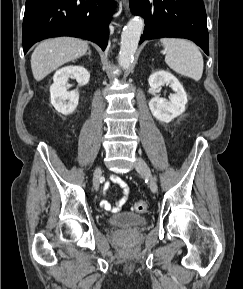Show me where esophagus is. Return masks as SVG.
Listing matches in <instances>:
<instances>
[{
    "instance_id": "34e87169",
    "label": "esophagus",
    "mask_w": 243,
    "mask_h": 289,
    "mask_svg": "<svg viewBox=\"0 0 243 289\" xmlns=\"http://www.w3.org/2000/svg\"><path fill=\"white\" fill-rule=\"evenodd\" d=\"M123 4H124V6L126 7V4H127V3H126V0L123 1Z\"/></svg>"
}]
</instances>
